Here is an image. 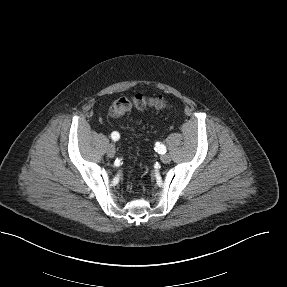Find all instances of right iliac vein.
Masks as SVG:
<instances>
[{"label":"right iliac vein","instance_id":"obj_1","mask_svg":"<svg viewBox=\"0 0 287 287\" xmlns=\"http://www.w3.org/2000/svg\"><path fill=\"white\" fill-rule=\"evenodd\" d=\"M108 157L112 158L115 156V147L113 145H109L107 148Z\"/></svg>","mask_w":287,"mask_h":287}]
</instances>
